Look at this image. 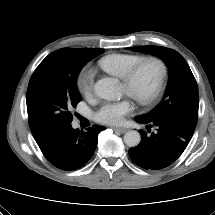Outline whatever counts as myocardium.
Listing matches in <instances>:
<instances>
[{
	"instance_id": "myocardium-1",
	"label": "myocardium",
	"mask_w": 215,
	"mask_h": 215,
	"mask_svg": "<svg viewBox=\"0 0 215 215\" xmlns=\"http://www.w3.org/2000/svg\"><path fill=\"white\" fill-rule=\"evenodd\" d=\"M155 64L158 68V77L153 90L145 96L139 95L134 91V83L141 69L147 64ZM168 74V67L166 62L159 56H146L133 65L126 75L123 77V85L126 87L127 94H129L136 102L141 105L153 104L161 95L166 78Z\"/></svg>"
}]
</instances>
